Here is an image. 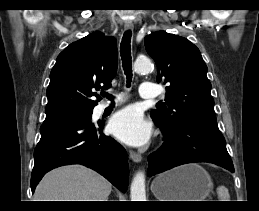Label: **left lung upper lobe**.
<instances>
[{
	"label": "left lung upper lobe",
	"mask_w": 259,
	"mask_h": 211,
	"mask_svg": "<svg viewBox=\"0 0 259 211\" xmlns=\"http://www.w3.org/2000/svg\"><path fill=\"white\" fill-rule=\"evenodd\" d=\"M148 54L157 64V82L167 84V108L151 111L156 124L172 132L186 122L217 126L207 66L199 49L186 38L157 31L145 37Z\"/></svg>",
	"instance_id": "1"
}]
</instances>
